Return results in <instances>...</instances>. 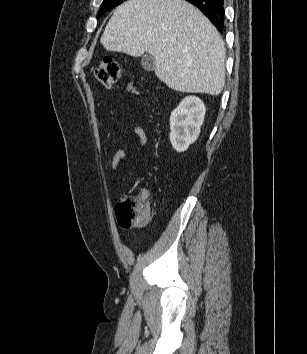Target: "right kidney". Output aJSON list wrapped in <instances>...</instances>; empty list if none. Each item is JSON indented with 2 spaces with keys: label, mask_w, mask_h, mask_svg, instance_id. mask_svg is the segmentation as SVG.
<instances>
[{
  "label": "right kidney",
  "mask_w": 307,
  "mask_h": 354,
  "mask_svg": "<svg viewBox=\"0 0 307 354\" xmlns=\"http://www.w3.org/2000/svg\"><path fill=\"white\" fill-rule=\"evenodd\" d=\"M205 105L195 96L185 97L170 116V142L177 152H184L199 136Z\"/></svg>",
  "instance_id": "1"
}]
</instances>
